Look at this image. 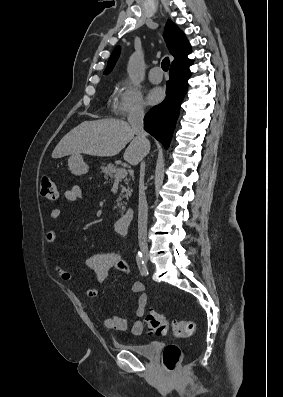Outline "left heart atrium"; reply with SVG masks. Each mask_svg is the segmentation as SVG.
<instances>
[{"mask_svg": "<svg viewBox=\"0 0 283 397\" xmlns=\"http://www.w3.org/2000/svg\"><path fill=\"white\" fill-rule=\"evenodd\" d=\"M165 97V91L161 87H153L147 94V101L150 105L159 104Z\"/></svg>", "mask_w": 283, "mask_h": 397, "instance_id": "1", "label": "left heart atrium"}]
</instances>
